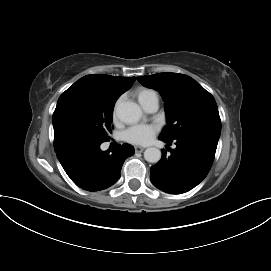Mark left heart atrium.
Wrapping results in <instances>:
<instances>
[{"label":"left heart atrium","mask_w":271,"mask_h":271,"mask_svg":"<svg viewBox=\"0 0 271 271\" xmlns=\"http://www.w3.org/2000/svg\"><path fill=\"white\" fill-rule=\"evenodd\" d=\"M157 129L154 126L146 124H138L129 127L124 137L126 141L132 144L146 145L152 141L156 134Z\"/></svg>","instance_id":"1"}]
</instances>
